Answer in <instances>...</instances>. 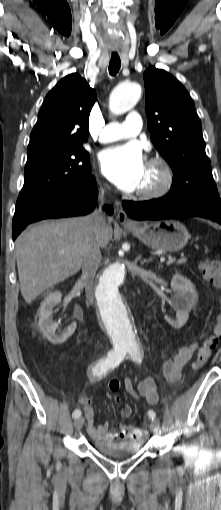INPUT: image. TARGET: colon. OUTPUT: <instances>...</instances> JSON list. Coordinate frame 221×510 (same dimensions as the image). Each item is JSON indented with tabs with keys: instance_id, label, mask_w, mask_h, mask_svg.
<instances>
[{
	"instance_id": "obj_1",
	"label": "colon",
	"mask_w": 221,
	"mask_h": 510,
	"mask_svg": "<svg viewBox=\"0 0 221 510\" xmlns=\"http://www.w3.org/2000/svg\"><path fill=\"white\" fill-rule=\"evenodd\" d=\"M202 270L204 272L205 277L208 281H210L215 287L221 289V270L217 267L216 263L209 260L204 259L202 261ZM221 338V322L216 326L215 333L204 340L202 345L199 347L195 360L193 362V368L195 370L200 369L210 358L212 351L215 349L218 339ZM109 390L113 393H117L120 389V382L118 379H111L109 381ZM118 401V398H116ZM129 408H123L121 411L122 416H128L130 414ZM132 435L134 438L140 436V430L133 429Z\"/></svg>"
}]
</instances>
